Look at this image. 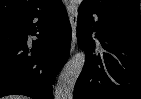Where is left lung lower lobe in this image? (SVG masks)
Listing matches in <instances>:
<instances>
[{
  "mask_svg": "<svg viewBox=\"0 0 141 99\" xmlns=\"http://www.w3.org/2000/svg\"><path fill=\"white\" fill-rule=\"evenodd\" d=\"M92 14L97 15L95 21ZM93 31L103 48L100 52L95 50ZM77 36L86 62L74 99H141L140 21L113 19L81 4Z\"/></svg>",
  "mask_w": 141,
  "mask_h": 99,
  "instance_id": "1",
  "label": "left lung lower lobe"
}]
</instances>
